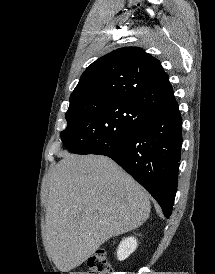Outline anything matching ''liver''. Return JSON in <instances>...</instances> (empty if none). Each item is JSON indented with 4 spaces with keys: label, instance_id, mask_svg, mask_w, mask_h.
<instances>
[{
    "label": "liver",
    "instance_id": "1",
    "mask_svg": "<svg viewBox=\"0 0 215 274\" xmlns=\"http://www.w3.org/2000/svg\"><path fill=\"white\" fill-rule=\"evenodd\" d=\"M49 186L47 252L68 272L108 239L140 227L149 217L148 193L113 160L63 153Z\"/></svg>",
    "mask_w": 215,
    "mask_h": 274
}]
</instances>
